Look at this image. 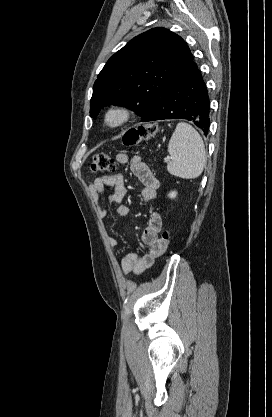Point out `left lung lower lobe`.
I'll return each instance as SVG.
<instances>
[{
	"label": "left lung lower lobe",
	"instance_id": "1",
	"mask_svg": "<svg viewBox=\"0 0 272 417\" xmlns=\"http://www.w3.org/2000/svg\"><path fill=\"white\" fill-rule=\"evenodd\" d=\"M210 101L206 84L193 59L180 71L142 122L186 119L205 135L209 131Z\"/></svg>",
	"mask_w": 272,
	"mask_h": 417
}]
</instances>
